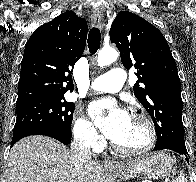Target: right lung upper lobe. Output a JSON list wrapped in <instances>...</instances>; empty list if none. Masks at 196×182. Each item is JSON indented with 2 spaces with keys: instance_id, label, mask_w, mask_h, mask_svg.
I'll use <instances>...</instances> for the list:
<instances>
[{
  "instance_id": "obj_1",
  "label": "right lung upper lobe",
  "mask_w": 196,
  "mask_h": 182,
  "mask_svg": "<svg viewBox=\"0 0 196 182\" xmlns=\"http://www.w3.org/2000/svg\"><path fill=\"white\" fill-rule=\"evenodd\" d=\"M87 22L66 11L40 26L26 43L17 104L73 91L72 68L82 56Z\"/></svg>"
}]
</instances>
